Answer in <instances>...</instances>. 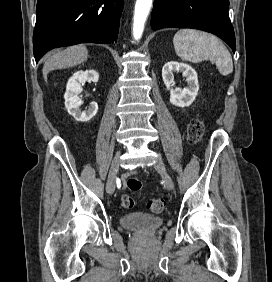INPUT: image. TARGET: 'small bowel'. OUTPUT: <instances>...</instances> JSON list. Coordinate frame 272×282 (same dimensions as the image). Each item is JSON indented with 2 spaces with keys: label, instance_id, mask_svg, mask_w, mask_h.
<instances>
[{
  "label": "small bowel",
  "instance_id": "obj_1",
  "mask_svg": "<svg viewBox=\"0 0 272 282\" xmlns=\"http://www.w3.org/2000/svg\"><path fill=\"white\" fill-rule=\"evenodd\" d=\"M127 178H128V174L122 175L121 180L123 182V185H124L125 181L127 180Z\"/></svg>",
  "mask_w": 272,
  "mask_h": 282
}]
</instances>
